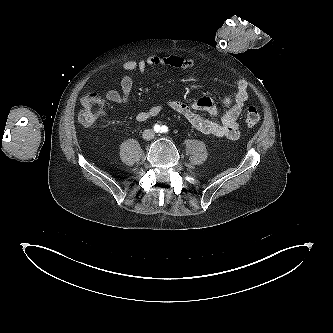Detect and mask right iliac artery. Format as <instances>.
Here are the masks:
<instances>
[{
  "instance_id": "right-iliac-artery-1",
  "label": "right iliac artery",
  "mask_w": 333,
  "mask_h": 333,
  "mask_svg": "<svg viewBox=\"0 0 333 333\" xmlns=\"http://www.w3.org/2000/svg\"><path fill=\"white\" fill-rule=\"evenodd\" d=\"M154 130H155L156 132H158V131L160 130V126H159V125H156V126L154 127Z\"/></svg>"
}]
</instances>
